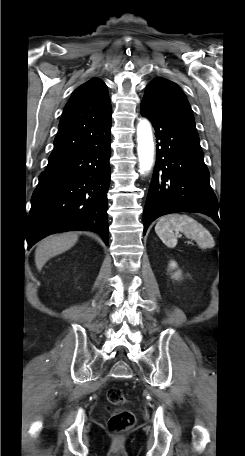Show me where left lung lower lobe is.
<instances>
[{"mask_svg":"<svg viewBox=\"0 0 245 456\" xmlns=\"http://www.w3.org/2000/svg\"><path fill=\"white\" fill-rule=\"evenodd\" d=\"M140 112L156 131L153 178L143 213L144 234L156 218L174 212H199L218 221V202L209 183L196 128L141 103Z\"/></svg>","mask_w":245,"mask_h":456,"instance_id":"obj_1","label":"left lung lower lobe"}]
</instances>
